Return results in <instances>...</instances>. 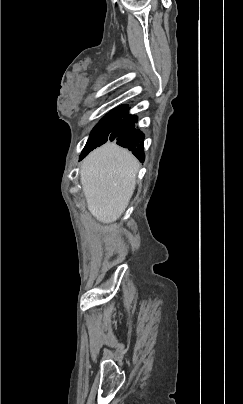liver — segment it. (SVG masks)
<instances>
[{"instance_id":"obj_1","label":"liver","mask_w":243,"mask_h":404,"mask_svg":"<svg viewBox=\"0 0 243 404\" xmlns=\"http://www.w3.org/2000/svg\"><path fill=\"white\" fill-rule=\"evenodd\" d=\"M139 162L131 152L108 142L81 164L80 182L87 208L103 224L116 222L135 190Z\"/></svg>"}]
</instances>
